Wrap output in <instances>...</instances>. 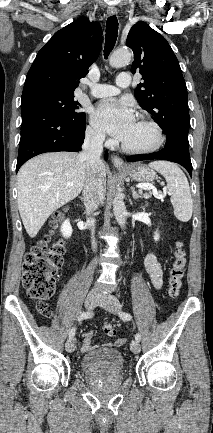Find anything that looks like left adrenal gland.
I'll list each match as a JSON object with an SVG mask.
<instances>
[{"label":"left adrenal gland","instance_id":"obj_1","mask_svg":"<svg viewBox=\"0 0 213 433\" xmlns=\"http://www.w3.org/2000/svg\"><path fill=\"white\" fill-rule=\"evenodd\" d=\"M131 191H132V197H133V199L142 198V196L140 194H138L133 187H131Z\"/></svg>","mask_w":213,"mask_h":433}]
</instances>
